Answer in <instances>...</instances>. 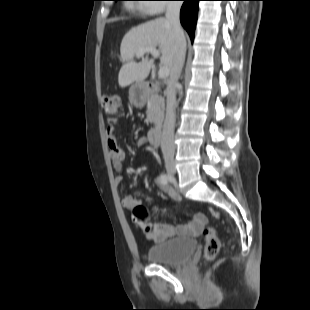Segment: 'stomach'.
I'll return each mask as SVG.
<instances>
[{"mask_svg": "<svg viewBox=\"0 0 310 310\" xmlns=\"http://www.w3.org/2000/svg\"><path fill=\"white\" fill-rule=\"evenodd\" d=\"M129 98L135 106H143L146 100L145 85L143 83H134L129 89Z\"/></svg>", "mask_w": 310, "mask_h": 310, "instance_id": "obj_1", "label": "stomach"}]
</instances>
